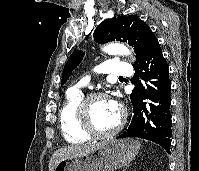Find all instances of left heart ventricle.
Here are the masks:
<instances>
[{
	"label": "left heart ventricle",
	"mask_w": 199,
	"mask_h": 171,
	"mask_svg": "<svg viewBox=\"0 0 199 171\" xmlns=\"http://www.w3.org/2000/svg\"><path fill=\"white\" fill-rule=\"evenodd\" d=\"M91 114L95 127L101 131L113 128L120 117V111L111 109L107 98L94 100L91 104Z\"/></svg>",
	"instance_id": "b2bd125f"
}]
</instances>
